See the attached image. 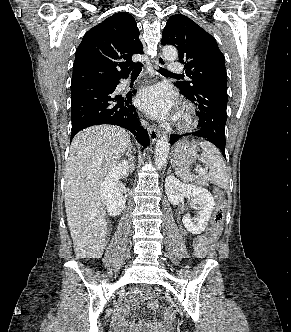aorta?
Wrapping results in <instances>:
<instances>
[{"mask_svg": "<svg viewBox=\"0 0 291 332\" xmlns=\"http://www.w3.org/2000/svg\"><path fill=\"white\" fill-rule=\"evenodd\" d=\"M163 57L167 61H174L178 57V51L173 46H165L163 48ZM169 139L167 135H162L156 143L155 147V166L158 169H161L167 160L168 154H169Z\"/></svg>", "mask_w": 291, "mask_h": 332, "instance_id": "762f6f07", "label": "aorta"}]
</instances>
